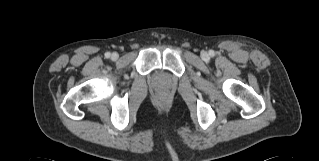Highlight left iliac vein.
Segmentation results:
<instances>
[{
  "mask_svg": "<svg viewBox=\"0 0 319 161\" xmlns=\"http://www.w3.org/2000/svg\"><path fill=\"white\" fill-rule=\"evenodd\" d=\"M208 55L206 53L203 54V57H207Z\"/></svg>",
  "mask_w": 319,
  "mask_h": 161,
  "instance_id": "4c4485c4",
  "label": "left iliac vein"
}]
</instances>
